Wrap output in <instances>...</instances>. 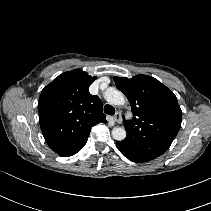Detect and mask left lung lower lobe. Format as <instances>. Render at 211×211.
Masks as SVG:
<instances>
[{"label":"left lung lower lobe","instance_id":"left-lung-lower-lobe-1","mask_svg":"<svg viewBox=\"0 0 211 211\" xmlns=\"http://www.w3.org/2000/svg\"><path fill=\"white\" fill-rule=\"evenodd\" d=\"M116 145H117L118 149L122 152V154H123L125 157H127L129 160L134 161V162H140V161L134 159L133 157H130L127 153H125L124 150L121 148V146L119 145L118 142H116Z\"/></svg>","mask_w":211,"mask_h":211}]
</instances>
